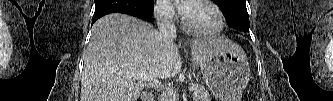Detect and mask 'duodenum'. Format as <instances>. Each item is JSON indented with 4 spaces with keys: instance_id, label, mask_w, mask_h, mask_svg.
<instances>
[{
    "instance_id": "410a0bca",
    "label": "duodenum",
    "mask_w": 333,
    "mask_h": 101,
    "mask_svg": "<svg viewBox=\"0 0 333 101\" xmlns=\"http://www.w3.org/2000/svg\"><path fill=\"white\" fill-rule=\"evenodd\" d=\"M142 101H154V97L152 94L150 93H146L143 98H142Z\"/></svg>"
}]
</instances>
